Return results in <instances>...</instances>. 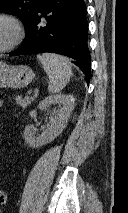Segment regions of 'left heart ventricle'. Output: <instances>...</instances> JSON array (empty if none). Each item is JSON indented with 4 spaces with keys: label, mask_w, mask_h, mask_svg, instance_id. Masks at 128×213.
<instances>
[{
    "label": "left heart ventricle",
    "mask_w": 128,
    "mask_h": 213,
    "mask_svg": "<svg viewBox=\"0 0 128 213\" xmlns=\"http://www.w3.org/2000/svg\"><path fill=\"white\" fill-rule=\"evenodd\" d=\"M14 31L9 22L0 19V48L8 45L13 39Z\"/></svg>",
    "instance_id": "1"
}]
</instances>
